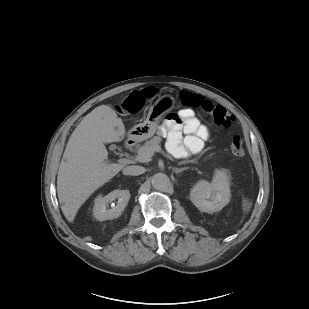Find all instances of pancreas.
<instances>
[{"label":"pancreas","instance_id":"pancreas-1","mask_svg":"<svg viewBox=\"0 0 309 309\" xmlns=\"http://www.w3.org/2000/svg\"><path fill=\"white\" fill-rule=\"evenodd\" d=\"M161 137L159 136H154L150 141H146L144 145L138 148L137 152L138 154L144 151L148 150H154L157 147H160V142H161Z\"/></svg>","mask_w":309,"mask_h":309}]
</instances>
